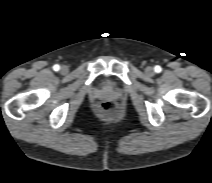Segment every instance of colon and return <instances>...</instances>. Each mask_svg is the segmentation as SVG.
Masks as SVG:
<instances>
[{
    "mask_svg": "<svg viewBox=\"0 0 212 183\" xmlns=\"http://www.w3.org/2000/svg\"><path fill=\"white\" fill-rule=\"evenodd\" d=\"M97 109L106 118L115 116L118 111L117 104L113 101H102L97 105Z\"/></svg>",
    "mask_w": 212,
    "mask_h": 183,
    "instance_id": "5ec220e1",
    "label": "colon"
}]
</instances>
